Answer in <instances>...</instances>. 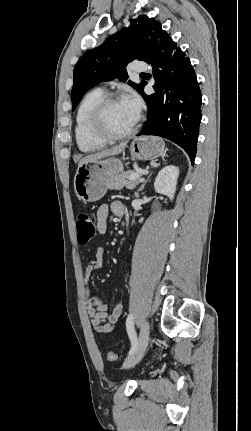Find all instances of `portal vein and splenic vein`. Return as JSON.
<instances>
[{
	"label": "portal vein and splenic vein",
	"instance_id": "portal-vein-and-splenic-vein-1",
	"mask_svg": "<svg viewBox=\"0 0 251 431\" xmlns=\"http://www.w3.org/2000/svg\"><path fill=\"white\" fill-rule=\"evenodd\" d=\"M140 174H138V173H134V174H132L131 176H130V180H136V179H139V180H141L142 181V179H140Z\"/></svg>",
	"mask_w": 251,
	"mask_h": 431
}]
</instances>
